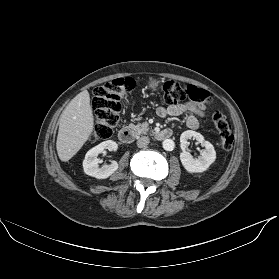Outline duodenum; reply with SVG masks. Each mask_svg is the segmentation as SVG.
<instances>
[{
	"instance_id": "duodenum-1",
	"label": "duodenum",
	"mask_w": 279,
	"mask_h": 279,
	"mask_svg": "<svg viewBox=\"0 0 279 279\" xmlns=\"http://www.w3.org/2000/svg\"><path fill=\"white\" fill-rule=\"evenodd\" d=\"M173 136V131L171 129H163L154 134V138L158 141H163L169 139ZM118 137L121 142L129 144L132 143L136 138V133L131 128H122L118 132Z\"/></svg>"
}]
</instances>
